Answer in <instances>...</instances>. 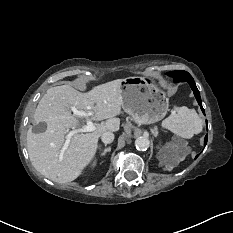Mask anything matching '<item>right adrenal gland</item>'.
<instances>
[{"label": "right adrenal gland", "instance_id": "right-adrenal-gland-1", "mask_svg": "<svg viewBox=\"0 0 233 233\" xmlns=\"http://www.w3.org/2000/svg\"><path fill=\"white\" fill-rule=\"evenodd\" d=\"M110 151H111V147L108 146L107 148H105V149L102 151L101 156L104 155V154H106L107 152H110Z\"/></svg>", "mask_w": 233, "mask_h": 233}]
</instances>
